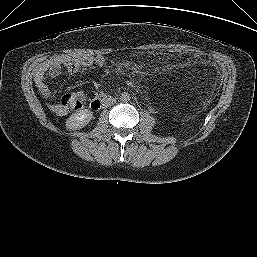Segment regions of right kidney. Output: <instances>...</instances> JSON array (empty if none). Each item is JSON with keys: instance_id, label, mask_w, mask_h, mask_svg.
<instances>
[{"instance_id": "obj_1", "label": "right kidney", "mask_w": 257, "mask_h": 257, "mask_svg": "<svg viewBox=\"0 0 257 257\" xmlns=\"http://www.w3.org/2000/svg\"><path fill=\"white\" fill-rule=\"evenodd\" d=\"M93 113L88 109H82L73 113L66 121V128L77 130L86 126L92 119Z\"/></svg>"}]
</instances>
